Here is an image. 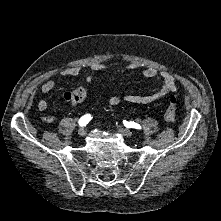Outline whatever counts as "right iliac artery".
Listing matches in <instances>:
<instances>
[{
    "mask_svg": "<svg viewBox=\"0 0 221 221\" xmlns=\"http://www.w3.org/2000/svg\"><path fill=\"white\" fill-rule=\"evenodd\" d=\"M91 115L90 114H86L84 116H82L79 120V125L80 126H86L88 124V122L91 120Z\"/></svg>",
    "mask_w": 221,
    "mask_h": 221,
    "instance_id": "1",
    "label": "right iliac artery"
}]
</instances>
